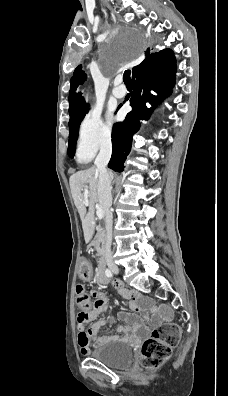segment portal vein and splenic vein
Here are the masks:
<instances>
[{"label": "portal vein and splenic vein", "instance_id": "1", "mask_svg": "<svg viewBox=\"0 0 228 396\" xmlns=\"http://www.w3.org/2000/svg\"><path fill=\"white\" fill-rule=\"evenodd\" d=\"M84 197H85V199H87V197H88V191L86 189H84ZM95 207H96V213H97L98 218L102 219L103 218V210H102L101 206L99 204H96Z\"/></svg>", "mask_w": 228, "mask_h": 396}]
</instances>
